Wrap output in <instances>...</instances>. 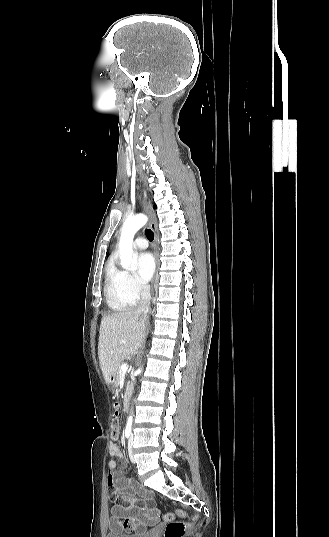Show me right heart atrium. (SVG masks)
<instances>
[{"label":"right heart atrium","mask_w":329,"mask_h":537,"mask_svg":"<svg viewBox=\"0 0 329 537\" xmlns=\"http://www.w3.org/2000/svg\"><path fill=\"white\" fill-rule=\"evenodd\" d=\"M119 286L125 296L133 302L139 301L148 292L147 287L136 275L125 271H119Z\"/></svg>","instance_id":"d8ad5b80"}]
</instances>
